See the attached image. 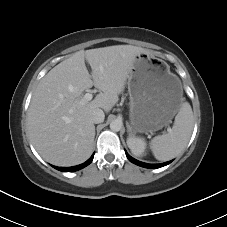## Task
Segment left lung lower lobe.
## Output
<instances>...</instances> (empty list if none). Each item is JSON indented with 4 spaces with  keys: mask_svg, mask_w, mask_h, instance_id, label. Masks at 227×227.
I'll list each match as a JSON object with an SVG mask.
<instances>
[{
    "mask_svg": "<svg viewBox=\"0 0 227 227\" xmlns=\"http://www.w3.org/2000/svg\"><path fill=\"white\" fill-rule=\"evenodd\" d=\"M126 156L129 159V161H131L132 163H134L138 166H141V167H145V168H160V167L168 165L169 163L172 162V161H169V162H165V163H162V164H147V163L140 162V161L132 158L127 152H126Z\"/></svg>",
    "mask_w": 227,
    "mask_h": 227,
    "instance_id": "0a47b994",
    "label": "left lung lower lobe"
}]
</instances>
